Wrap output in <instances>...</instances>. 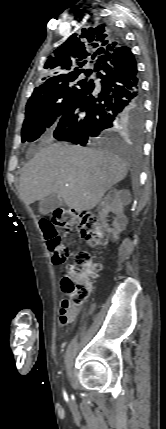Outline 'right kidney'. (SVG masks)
I'll list each match as a JSON object with an SVG mask.
<instances>
[{
  "mask_svg": "<svg viewBox=\"0 0 166 429\" xmlns=\"http://www.w3.org/2000/svg\"><path fill=\"white\" fill-rule=\"evenodd\" d=\"M131 195L128 190H117L112 188L99 204L98 213L102 226L108 233L112 234L114 240L119 238V234L125 229L127 225V218L123 213L124 205L130 203ZM112 212L116 215L113 222V228L108 225V214Z\"/></svg>",
  "mask_w": 166,
  "mask_h": 429,
  "instance_id": "1",
  "label": "right kidney"
}]
</instances>
